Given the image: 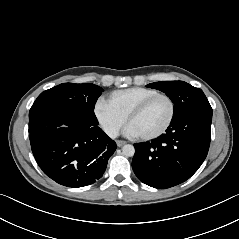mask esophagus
I'll list each match as a JSON object with an SVG mask.
<instances>
[{"mask_svg":"<svg viewBox=\"0 0 239 239\" xmlns=\"http://www.w3.org/2000/svg\"><path fill=\"white\" fill-rule=\"evenodd\" d=\"M116 143H117L118 147H122L123 145L126 144V141H124V140H117Z\"/></svg>","mask_w":239,"mask_h":239,"instance_id":"1","label":"esophagus"}]
</instances>
